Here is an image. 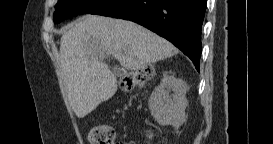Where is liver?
<instances>
[{
    "mask_svg": "<svg viewBox=\"0 0 273 144\" xmlns=\"http://www.w3.org/2000/svg\"><path fill=\"white\" fill-rule=\"evenodd\" d=\"M177 53L169 41L134 22L97 15L78 19L60 41V69L72 110L83 118L115 94L117 80L103 62L106 56L135 71Z\"/></svg>",
    "mask_w": 273,
    "mask_h": 144,
    "instance_id": "1",
    "label": "liver"
}]
</instances>
